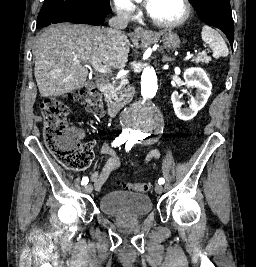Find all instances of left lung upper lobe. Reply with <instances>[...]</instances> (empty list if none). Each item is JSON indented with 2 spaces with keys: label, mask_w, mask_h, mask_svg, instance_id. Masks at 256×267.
I'll list each match as a JSON object with an SVG mask.
<instances>
[{
  "label": "left lung upper lobe",
  "mask_w": 256,
  "mask_h": 267,
  "mask_svg": "<svg viewBox=\"0 0 256 267\" xmlns=\"http://www.w3.org/2000/svg\"><path fill=\"white\" fill-rule=\"evenodd\" d=\"M203 22L221 29L231 46L234 39V23L229 0H191Z\"/></svg>",
  "instance_id": "left-lung-upper-lobe-1"
}]
</instances>
